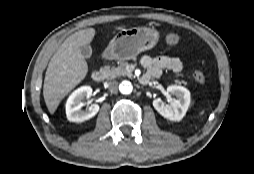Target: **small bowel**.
Here are the masks:
<instances>
[{"label":"small bowel","instance_id":"c3829d8e","mask_svg":"<svg viewBox=\"0 0 254 174\" xmlns=\"http://www.w3.org/2000/svg\"><path fill=\"white\" fill-rule=\"evenodd\" d=\"M141 64L146 69V73L142 76V78H157L162 74V71L165 69L172 70L176 73L183 70L182 62L175 57H151L149 55H144L141 58Z\"/></svg>","mask_w":254,"mask_h":174}]
</instances>
